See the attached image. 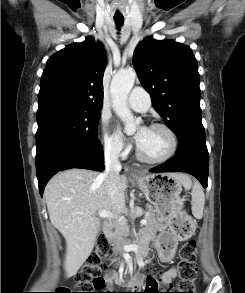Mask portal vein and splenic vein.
<instances>
[{
	"label": "portal vein and splenic vein",
	"mask_w": 245,
	"mask_h": 293,
	"mask_svg": "<svg viewBox=\"0 0 245 293\" xmlns=\"http://www.w3.org/2000/svg\"><path fill=\"white\" fill-rule=\"evenodd\" d=\"M98 214L102 218H114V214H112L110 211L101 210V211L98 212ZM118 221H122V218L118 219ZM140 223L143 224V225H146L147 220L142 219Z\"/></svg>",
	"instance_id": "obj_1"
}]
</instances>
